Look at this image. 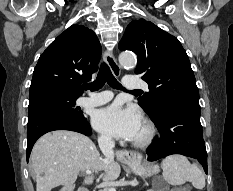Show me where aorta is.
Returning a JSON list of instances; mask_svg holds the SVG:
<instances>
[{"mask_svg":"<svg viewBox=\"0 0 233 191\" xmlns=\"http://www.w3.org/2000/svg\"><path fill=\"white\" fill-rule=\"evenodd\" d=\"M136 57L133 53L131 52H122L119 55V63L122 67L126 69H133L136 66Z\"/></svg>","mask_w":233,"mask_h":191,"instance_id":"aorta-1","label":"aorta"}]
</instances>
